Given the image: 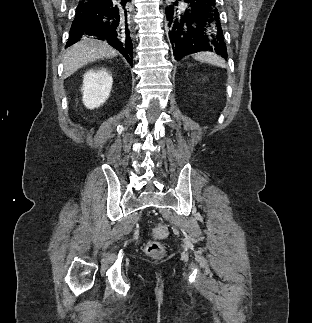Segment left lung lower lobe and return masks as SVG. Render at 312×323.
Wrapping results in <instances>:
<instances>
[{
  "instance_id": "0a47b994",
  "label": "left lung lower lobe",
  "mask_w": 312,
  "mask_h": 323,
  "mask_svg": "<svg viewBox=\"0 0 312 323\" xmlns=\"http://www.w3.org/2000/svg\"><path fill=\"white\" fill-rule=\"evenodd\" d=\"M178 1L165 12L175 59L207 50L227 58L217 0Z\"/></svg>"
}]
</instances>
